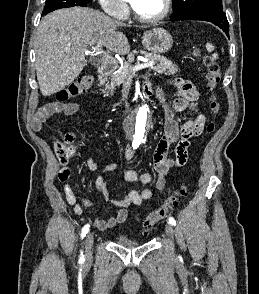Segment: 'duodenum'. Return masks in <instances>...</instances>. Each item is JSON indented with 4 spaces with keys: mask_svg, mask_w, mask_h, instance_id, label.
Instances as JSON below:
<instances>
[{
    "mask_svg": "<svg viewBox=\"0 0 259 294\" xmlns=\"http://www.w3.org/2000/svg\"><path fill=\"white\" fill-rule=\"evenodd\" d=\"M115 65L111 61H104L99 66V73L104 76L110 73L114 69ZM147 88V85L145 86V89Z\"/></svg>",
    "mask_w": 259,
    "mask_h": 294,
    "instance_id": "1",
    "label": "duodenum"
}]
</instances>
